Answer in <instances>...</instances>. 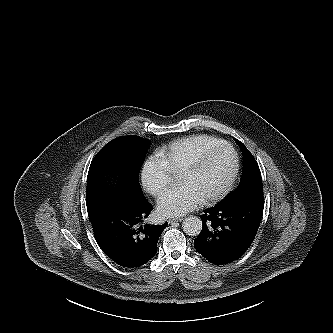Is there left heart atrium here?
Wrapping results in <instances>:
<instances>
[{
    "label": "left heart atrium",
    "mask_w": 333,
    "mask_h": 333,
    "mask_svg": "<svg viewBox=\"0 0 333 333\" xmlns=\"http://www.w3.org/2000/svg\"><path fill=\"white\" fill-rule=\"evenodd\" d=\"M202 201L203 197L193 187L181 184L162 194L158 210L164 216H179L195 209Z\"/></svg>",
    "instance_id": "1"
}]
</instances>
